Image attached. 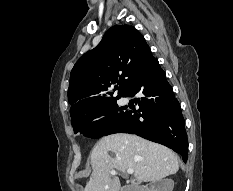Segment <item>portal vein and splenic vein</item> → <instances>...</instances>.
I'll use <instances>...</instances> for the list:
<instances>
[{
	"instance_id": "1",
	"label": "portal vein and splenic vein",
	"mask_w": 233,
	"mask_h": 191,
	"mask_svg": "<svg viewBox=\"0 0 233 191\" xmlns=\"http://www.w3.org/2000/svg\"><path fill=\"white\" fill-rule=\"evenodd\" d=\"M110 173H111L112 176H115V175H116V171H115V170H112ZM127 173H128V174H133V173H134V170H133V169H128V170H127Z\"/></svg>"
}]
</instances>
